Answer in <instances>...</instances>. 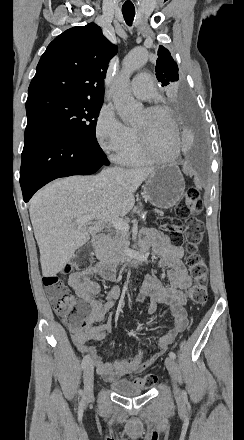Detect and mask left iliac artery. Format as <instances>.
Instances as JSON below:
<instances>
[{
	"mask_svg": "<svg viewBox=\"0 0 244 440\" xmlns=\"http://www.w3.org/2000/svg\"><path fill=\"white\" fill-rule=\"evenodd\" d=\"M169 357L172 358V359H175L176 358V354L173 351H170L169 352Z\"/></svg>",
	"mask_w": 244,
	"mask_h": 440,
	"instance_id": "left-iliac-artery-1",
	"label": "left iliac artery"
}]
</instances>
